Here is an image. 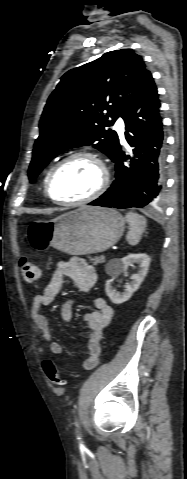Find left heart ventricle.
Returning a JSON list of instances; mask_svg holds the SVG:
<instances>
[{"label": "left heart ventricle", "instance_id": "obj_1", "mask_svg": "<svg viewBox=\"0 0 187 479\" xmlns=\"http://www.w3.org/2000/svg\"><path fill=\"white\" fill-rule=\"evenodd\" d=\"M99 166L88 158H77L64 164L54 175L51 193L61 201H72L90 195L99 185Z\"/></svg>", "mask_w": 187, "mask_h": 479}]
</instances>
